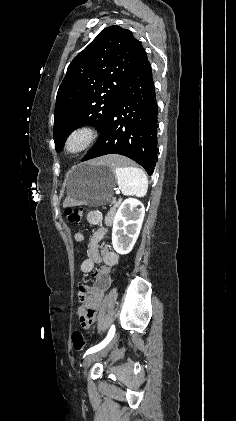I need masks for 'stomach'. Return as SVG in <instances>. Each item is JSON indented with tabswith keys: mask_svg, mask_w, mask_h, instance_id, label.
Masks as SVG:
<instances>
[{
	"mask_svg": "<svg viewBox=\"0 0 236 421\" xmlns=\"http://www.w3.org/2000/svg\"><path fill=\"white\" fill-rule=\"evenodd\" d=\"M116 170L109 164L81 162L70 170L68 196L74 204L101 206L112 198L116 184Z\"/></svg>",
	"mask_w": 236,
	"mask_h": 421,
	"instance_id": "stomach-1",
	"label": "stomach"
}]
</instances>
